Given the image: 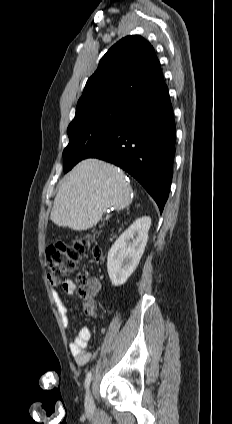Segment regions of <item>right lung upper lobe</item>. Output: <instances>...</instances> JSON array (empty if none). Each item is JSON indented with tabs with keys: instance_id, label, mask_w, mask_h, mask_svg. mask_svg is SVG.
Here are the masks:
<instances>
[{
	"instance_id": "right-lung-upper-lobe-1",
	"label": "right lung upper lobe",
	"mask_w": 232,
	"mask_h": 424,
	"mask_svg": "<svg viewBox=\"0 0 232 424\" xmlns=\"http://www.w3.org/2000/svg\"><path fill=\"white\" fill-rule=\"evenodd\" d=\"M164 84L154 48L141 36H127L100 60L85 85L76 113L103 104L133 105Z\"/></svg>"
}]
</instances>
